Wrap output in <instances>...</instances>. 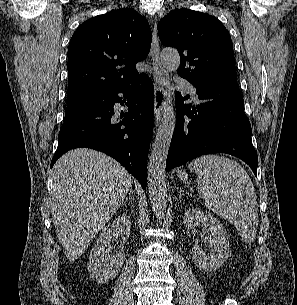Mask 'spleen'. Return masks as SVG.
I'll use <instances>...</instances> for the list:
<instances>
[{"label":"spleen","instance_id":"1","mask_svg":"<svg viewBox=\"0 0 297 305\" xmlns=\"http://www.w3.org/2000/svg\"><path fill=\"white\" fill-rule=\"evenodd\" d=\"M197 173V190L205 205L232 223L246 243L255 239L258 208L254 186L240 164L229 158L205 155L188 165Z\"/></svg>","mask_w":297,"mask_h":305}]
</instances>
